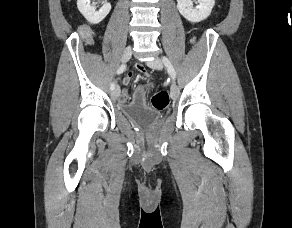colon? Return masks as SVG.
I'll list each match as a JSON object with an SVG mask.
<instances>
[{"mask_svg": "<svg viewBox=\"0 0 292 228\" xmlns=\"http://www.w3.org/2000/svg\"><path fill=\"white\" fill-rule=\"evenodd\" d=\"M81 34L86 40H90V33L87 29H82ZM169 102H170L169 94L166 91L156 92L151 98V104L153 108L157 110H163L167 108Z\"/></svg>", "mask_w": 292, "mask_h": 228, "instance_id": "5ec220e1", "label": "colon"}]
</instances>
